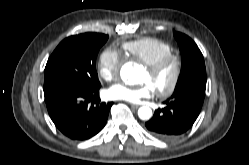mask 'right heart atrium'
<instances>
[{
    "mask_svg": "<svg viewBox=\"0 0 249 165\" xmlns=\"http://www.w3.org/2000/svg\"><path fill=\"white\" fill-rule=\"evenodd\" d=\"M121 65L122 59L119 52L113 47H108L99 56L97 71L103 80L109 82L118 76Z\"/></svg>",
    "mask_w": 249,
    "mask_h": 165,
    "instance_id": "obj_1",
    "label": "right heart atrium"
}]
</instances>
